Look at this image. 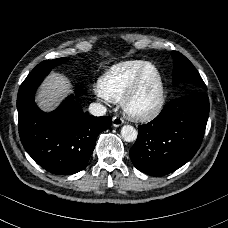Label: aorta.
I'll list each match as a JSON object with an SVG mask.
<instances>
[{
	"label": "aorta",
	"instance_id": "1",
	"mask_svg": "<svg viewBox=\"0 0 228 228\" xmlns=\"http://www.w3.org/2000/svg\"><path fill=\"white\" fill-rule=\"evenodd\" d=\"M137 130L131 125H124L121 129V136L126 142H133L137 139Z\"/></svg>",
	"mask_w": 228,
	"mask_h": 228
}]
</instances>
